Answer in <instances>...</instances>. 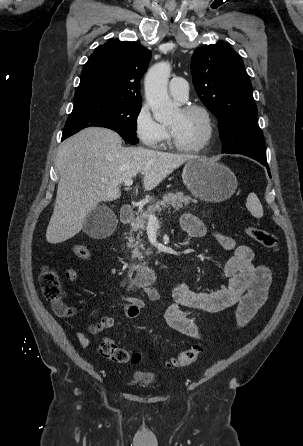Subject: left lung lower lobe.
Returning a JSON list of instances; mask_svg holds the SVG:
<instances>
[{
    "instance_id": "0a47b994",
    "label": "left lung lower lobe",
    "mask_w": 303,
    "mask_h": 446,
    "mask_svg": "<svg viewBox=\"0 0 303 446\" xmlns=\"http://www.w3.org/2000/svg\"><path fill=\"white\" fill-rule=\"evenodd\" d=\"M246 156H247V155H246ZM249 157H251V158L257 160V161L260 162L262 165L266 166V168H267V170H268V174L270 175V171H269V167H268V165H267V160H266V159H263V158H260V157H257V156H252V155H250Z\"/></svg>"
}]
</instances>
